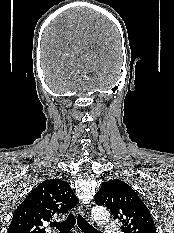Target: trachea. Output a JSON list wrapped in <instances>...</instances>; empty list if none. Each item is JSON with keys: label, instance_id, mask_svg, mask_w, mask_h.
I'll list each match as a JSON object with an SVG mask.
<instances>
[{"label": "trachea", "instance_id": "obj_1", "mask_svg": "<svg viewBox=\"0 0 174 233\" xmlns=\"http://www.w3.org/2000/svg\"><path fill=\"white\" fill-rule=\"evenodd\" d=\"M78 224L82 232L84 233H101L97 229H95L93 226H91L86 220H84L79 214L74 215L73 213H70L68 217L63 222H52L50 225L52 227H56L60 231V233H69L71 229L74 227V225Z\"/></svg>", "mask_w": 174, "mask_h": 233}]
</instances>
